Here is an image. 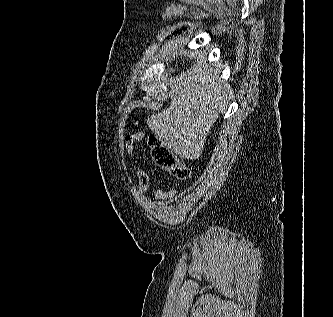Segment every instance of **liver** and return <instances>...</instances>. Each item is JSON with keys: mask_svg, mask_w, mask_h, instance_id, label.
<instances>
[{"mask_svg": "<svg viewBox=\"0 0 333 317\" xmlns=\"http://www.w3.org/2000/svg\"><path fill=\"white\" fill-rule=\"evenodd\" d=\"M230 92L220 71L199 62L171 82L169 108L152 114L147 124L167 150L182 159H197L218 114L228 105Z\"/></svg>", "mask_w": 333, "mask_h": 317, "instance_id": "liver-1", "label": "liver"}]
</instances>
